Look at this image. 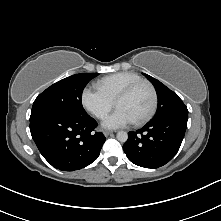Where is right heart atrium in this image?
Instances as JSON below:
<instances>
[{
	"label": "right heart atrium",
	"mask_w": 221,
	"mask_h": 221,
	"mask_svg": "<svg viewBox=\"0 0 221 221\" xmlns=\"http://www.w3.org/2000/svg\"><path fill=\"white\" fill-rule=\"evenodd\" d=\"M83 107L98 119H103L114 107V101L98 88L85 87L81 94Z\"/></svg>",
	"instance_id": "d8ad5b80"
}]
</instances>
